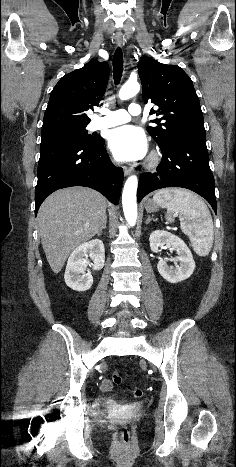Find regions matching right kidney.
Returning a JSON list of instances; mask_svg holds the SVG:
<instances>
[{"label":"right kidney","instance_id":"right-kidney-1","mask_svg":"<svg viewBox=\"0 0 236 467\" xmlns=\"http://www.w3.org/2000/svg\"><path fill=\"white\" fill-rule=\"evenodd\" d=\"M88 255L93 263L88 261ZM105 262L104 244L99 239H94L77 247L70 255L66 270L65 283L76 291L89 290L93 284V277L88 265L93 270H101Z\"/></svg>","mask_w":236,"mask_h":467}]
</instances>
